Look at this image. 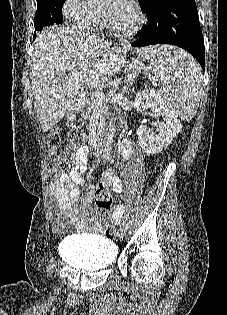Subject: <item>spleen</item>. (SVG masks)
I'll list each match as a JSON object with an SVG mask.
<instances>
[{
	"label": "spleen",
	"instance_id": "1",
	"mask_svg": "<svg viewBox=\"0 0 227 315\" xmlns=\"http://www.w3.org/2000/svg\"><path fill=\"white\" fill-rule=\"evenodd\" d=\"M143 56L150 61L153 72L163 83L160 95L164 102L180 119H192L203 92L199 64L183 52L166 45L146 48Z\"/></svg>",
	"mask_w": 227,
	"mask_h": 315
}]
</instances>
